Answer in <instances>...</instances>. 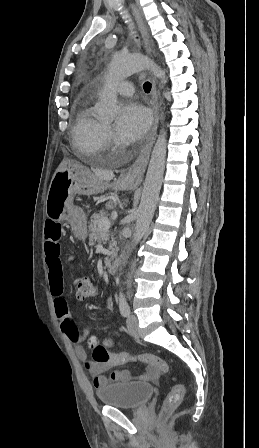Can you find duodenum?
<instances>
[{
    "label": "duodenum",
    "mask_w": 259,
    "mask_h": 448,
    "mask_svg": "<svg viewBox=\"0 0 259 448\" xmlns=\"http://www.w3.org/2000/svg\"><path fill=\"white\" fill-rule=\"evenodd\" d=\"M121 263L119 260H113L108 266V272L110 275H116L120 270Z\"/></svg>",
    "instance_id": "duodenum-1"
}]
</instances>
